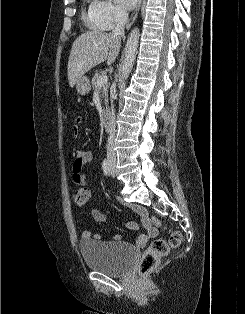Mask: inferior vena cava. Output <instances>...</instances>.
I'll return each instance as SVG.
<instances>
[{
    "instance_id": "inferior-vena-cava-1",
    "label": "inferior vena cava",
    "mask_w": 245,
    "mask_h": 314,
    "mask_svg": "<svg viewBox=\"0 0 245 314\" xmlns=\"http://www.w3.org/2000/svg\"><path fill=\"white\" fill-rule=\"evenodd\" d=\"M128 21V13L125 10H119L116 14V27L112 31V34L121 41V39L125 38V25ZM114 93H112L111 98L114 99ZM109 137H108V144H107V160L109 162L115 163L116 162V153H115V113L112 105V113H111V120L109 126Z\"/></svg>"
}]
</instances>
